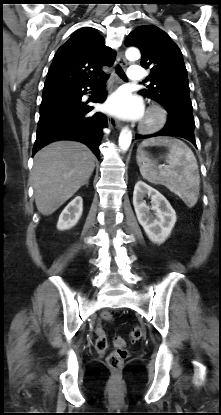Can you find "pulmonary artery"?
<instances>
[{"label": "pulmonary artery", "mask_w": 221, "mask_h": 415, "mask_svg": "<svg viewBox=\"0 0 221 415\" xmlns=\"http://www.w3.org/2000/svg\"><path fill=\"white\" fill-rule=\"evenodd\" d=\"M127 75L131 81H140L144 77V72L140 66L132 65L129 67Z\"/></svg>", "instance_id": "e3ab8cb5"}]
</instances>
